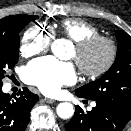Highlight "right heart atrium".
I'll list each match as a JSON object with an SVG mask.
<instances>
[{
    "mask_svg": "<svg viewBox=\"0 0 131 131\" xmlns=\"http://www.w3.org/2000/svg\"><path fill=\"white\" fill-rule=\"evenodd\" d=\"M53 39L52 32L40 25L30 26L23 34L20 52L23 56H33L46 51Z\"/></svg>",
    "mask_w": 131,
    "mask_h": 131,
    "instance_id": "right-heart-atrium-1",
    "label": "right heart atrium"
}]
</instances>
